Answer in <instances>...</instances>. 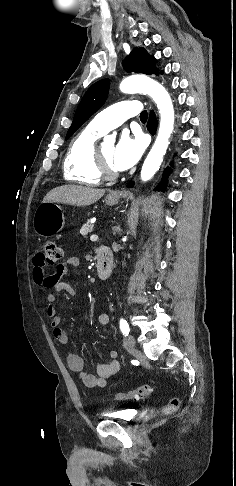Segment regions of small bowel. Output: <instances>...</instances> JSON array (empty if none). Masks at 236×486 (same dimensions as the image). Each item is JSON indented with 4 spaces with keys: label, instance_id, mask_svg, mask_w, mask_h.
Segmentation results:
<instances>
[{
    "label": "small bowel",
    "instance_id": "small-bowel-1",
    "mask_svg": "<svg viewBox=\"0 0 236 486\" xmlns=\"http://www.w3.org/2000/svg\"><path fill=\"white\" fill-rule=\"evenodd\" d=\"M33 262L34 282L42 288L51 290L46 297L48 302L46 314L51 320L54 337L60 344L66 345L70 341V334L66 329L61 327V316L57 310L56 301L62 290L71 295H76L77 290L69 284L60 282V279L67 273L69 265L73 267L79 266V259L77 257L68 258L66 262L56 265L52 273L46 272V263L43 261L41 253L34 257ZM98 322L101 325L108 324L109 316L105 313L99 314ZM67 363L72 371L79 373L82 382L89 388L105 387L107 379L114 376L120 369L116 351L109 352V361L99 364L95 374H91L85 370L83 359L75 353L68 354Z\"/></svg>",
    "mask_w": 236,
    "mask_h": 486
}]
</instances>
